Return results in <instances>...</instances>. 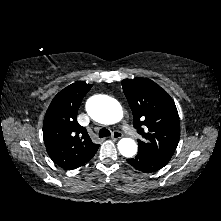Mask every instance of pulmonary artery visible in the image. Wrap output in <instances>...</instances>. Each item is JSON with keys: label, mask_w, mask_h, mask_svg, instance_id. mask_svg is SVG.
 <instances>
[{"label": "pulmonary artery", "mask_w": 221, "mask_h": 221, "mask_svg": "<svg viewBox=\"0 0 221 221\" xmlns=\"http://www.w3.org/2000/svg\"><path fill=\"white\" fill-rule=\"evenodd\" d=\"M137 135H138L137 133H134V134H133L134 137H136Z\"/></svg>", "instance_id": "e3ab8cb5"}]
</instances>
